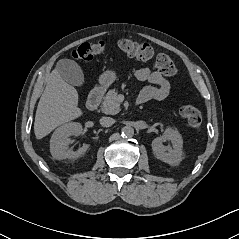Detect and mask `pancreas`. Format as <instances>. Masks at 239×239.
Listing matches in <instances>:
<instances>
[{
    "mask_svg": "<svg viewBox=\"0 0 239 239\" xmlns=\"http://www.w3.org/2000/svg\"><path fill=\"white\" fill-rule=\"evenodd\" d=\"M117 95L118 92L115 89L108 91L102 102V112L111 115H115L120 112V103L117 100Z\"/></svg>",
    "mask_w": 239,
    "mask_h": 239,
    "instance_id": "1",
    "label": "pancreas"
}]
</instances>
